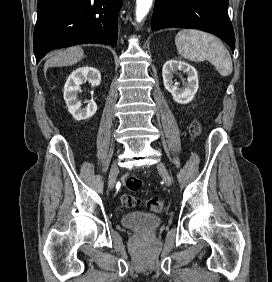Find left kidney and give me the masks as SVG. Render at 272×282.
Wrapping results in <instances>:
<instances>
[{
	"instance_id": "left-kidney-1",
	"label": "left kidney",
	"mask_w": 272,
	"mask_h": 282,
	"mask_svg": "<svg viewBox=\"0 0 272 282\" xmlns=\"http://www.w3.org/2000/svg\"><path fill=\"white\" fill-rule=\"evenodd\" d=\"M177 71L187 74V83L182 88L178 87V83L174 81L173 74ZM162 76L165 89L172 94L175 102L187 104L192 101L199 87L198 73L193 66L172 59L163 65Z\"/></svg>"
}]
</instances>
